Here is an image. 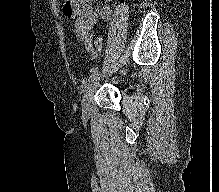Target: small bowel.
Instances as JSON below:
<instances>
[{"label": "small bowel", "mask_w": 219, "mask_h": 192, "mask_svg": "<svg viewBox=\"0 0 219 192\" xmlns=\"http://www.w3.org/2000/svg\"><path fill=\"white\" fill-rule=\"evenodd\" d=\"M94 0H65L64 14L74 19V31L79 43H83L92 58L96 53L91 52V42L95 34V27L99 22L109 20L112 10L111 0H105L100 7H94Z\"/></svg>", "instance_id": "small-bowel-1"}]
</instances>
